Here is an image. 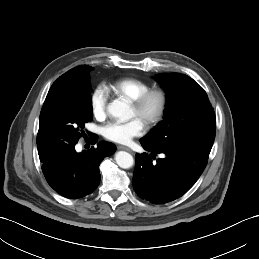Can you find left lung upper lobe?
<instances>
[{"label": "left lung upper lobe", "mask_w": 259, "mask_h": 259, "mask_svg": "<svg viewBox=\"0 0 259 259\" xmlns=\"http://www.w3.org/2000/svg\"><path fill=\"white\" fill-rule=\"evenodd\" d=\"M155 78L167 94L165 116L140 141L172 152L210 150L216 117L205 90L184 74L162 73Z\"/></svg>", "instance_id": "1"}]
</instances>
